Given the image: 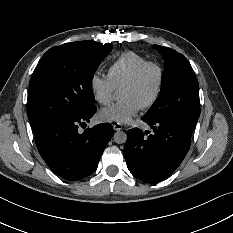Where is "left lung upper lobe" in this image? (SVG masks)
<instances>
[{"label":"left lung upper lobe","mask_w":233,"mask_h":233,"mask_svg":"<svg viewBox=\"0 0 233 233\" xmlns=\"http://www.w3.org/2000/svg\"><path fill=\"white\" fill-rule=\"evenodd\" d=\"M163 56L165 70L161 91L146 112V121H191L200 115L198 80L188 60L173 49L154 45Z\"/></svg>","instance_id":"1"}]
</instances>
